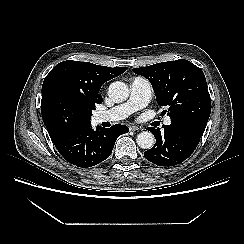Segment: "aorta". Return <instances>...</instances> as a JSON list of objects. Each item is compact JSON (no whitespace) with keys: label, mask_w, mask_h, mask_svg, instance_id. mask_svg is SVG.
Wrapping results in <instances>:
<instances>
[{"label":"aorta","mask_w":244,"mask_h":244,"mask_svg":"<svg viewBox=\"0 0 244 244\" xmlns=\"http://www.w3.org/2000/svg\"><path fill=\"white\" fill-rule=\"evenodd\" d=\"M109 96L117 103L125 101L129 96V88L124 82L116 81L109 86ZM137 144L142 149H150L155 144V137L149 131H143L137 136Z\"/></svg>","instance_id":"762f6f07"}]
</instances>
